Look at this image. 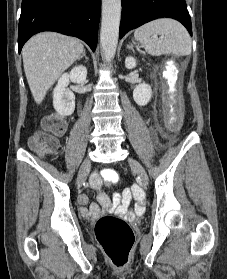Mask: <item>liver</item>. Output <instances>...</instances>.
<instances>
[{
	"instance_id": "liver-1",
	"label": "liver",
	"mask_w": 227,
	"mask_h": 279,
	"mask_svg": "<svg viewBox=\"0 0 227 279\" xmlns=\"http://www.w3.org/2000/svg\"><path fill=\"white\" fill-rule=\"evenodd\" d=\"M80 40L54 32L33 36L22 49L25 75L37 104L59 76L83 53Z\"/></svg>"
}]
</instances>
